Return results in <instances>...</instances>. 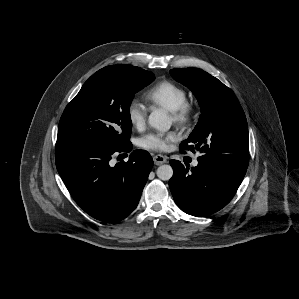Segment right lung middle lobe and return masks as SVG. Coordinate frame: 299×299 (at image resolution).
I'll use <instances>...</instances> for the list:
<instances>
[{"mask_svg": "<svg viewBox=\"0 0 299 299\" xmlns=\"http://www.w3.org/2000/svg\"><path fill=\"white\" fill-rule=\"evenodd\" d=\"M132 65L107 66L94 73L65 108L57 143L116 150L129 143L134 94L154 80Z\"/></svg>", "mask_w": 299, "mask_h": 299, "instance_id": "right-lung-middle-lobe-1", "label": "right lung middle lobe"}]
</instances>
